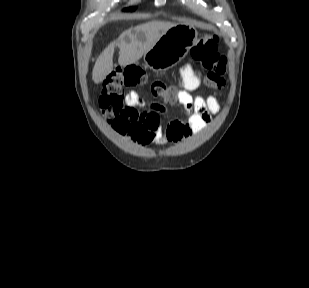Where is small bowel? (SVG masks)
<instances>
[{
    "instance_id": "obj_1",
    "label": "small bowel",
    "mask_w": 309,
    "mask_h": 288,
    "mask_svg": "<svg viewBox=\"0 0 309 288\" xmlns=\"http://www.w3.org/2000/svg\"><path fill=\"white\" fill-rule=\"evenodd\" d=\"M185 90L178 94V102L184 110V120H169L162 127L161 115L165 114L163 104L155 103L147 107L143 98L135 91L126 96V105L131 109L127 118L113 122V129L119 135L131 139L140 146L162 145L168 142H179L200 133L206 128L216 114L220 105L215 96L206 98L192 96L191 91L198 88L199 83L193 78L189 64L181 68Z\"/></svg>"
}]
</instances>
